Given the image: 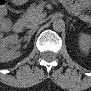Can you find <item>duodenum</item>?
<instances>
[{
    "label": "duodenum",
    "mask_w": 91,
    "mask_h": 91,
    "mask_svg": "<svg viewBox=\"0 0 91 91\" xmlns=\"http://www.w3.org/2000/svg\"><path fill=\"white\" fill-rule=\"evenodd\" d=\"M24 27H25V23L22 19H19L17 20L13 26H12V29L15 33H20L24 30Z\"/></svg>",
    "instance_id": "1"
}]
</instances>
